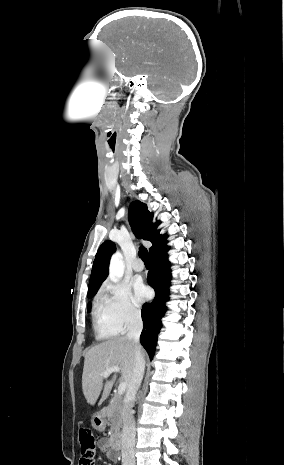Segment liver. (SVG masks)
I'll list each match as a JSON object with an SVG mask.
<instances>
[{
    "label": "liver",
    "mask_w": 284,
    "mask_h": 465,
    "mask_svg": "<svg viewBox=\"0 0 284 465\" xmlns=\"http://www.w3.org/2000/svg\"><path fill=\"white\" fill-rule=\"evenodd\" d=\"M136 349H139L142 357H145L141 347L135 345L131 339L114 337V339H108V341H104V343H100L96 347H91L87 351L82 375V389L89 405H95L101 393L102 397L99 405L109 397L117 379L116 373L112 375L111 379L102 377V373L109 367H119L123 381H125L126 385L131 383ZM104 379H106L105 383Z\"/></svg>",
    "instance_id": "1"
}]
</instances>
